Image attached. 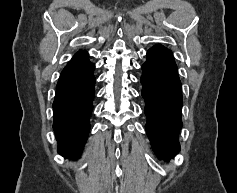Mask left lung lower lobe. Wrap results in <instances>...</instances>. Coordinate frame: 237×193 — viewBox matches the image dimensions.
<instances>
[{
    "label": "left lung lower lobe",
    "mask_w": 237,
    "mask_h": 193,
    "mask_svg": "<svg viewBox=\"0 0 237 193\" xmlns=\"http://www.w3.org/2000/svg\"><path fill=\"white\" fill-rule=\"evenodd\" d=\"M142 96L147 117L146 132L159 158L169 160L179 150L178 132L182 127V87L172 52L155 45L142 65Z\"/></svg>",
    "instance_id": "obj_1"
}]
</instances>
